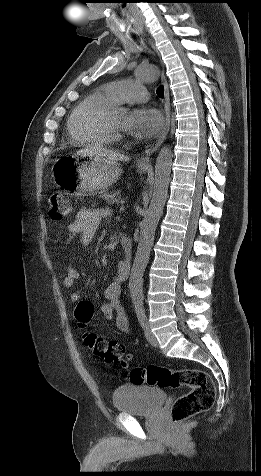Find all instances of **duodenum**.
<instances>
[{"label": "duodenum", "instance_id": "1", "mask_svg": "<svg viewBox=\"0 0 261 476\" xmlns=\"http://www.w3.org/2000/svg\"><path fill=\"white\" fill-rule=\"evenodd\" d=\"M120 245L124 254V260L121 262L123 270L127 273L130 271L131 259H132V242L126 235L120 236Z\"/></svg>", "mask_w": 261, "mask_h": 476}]
</instances>
